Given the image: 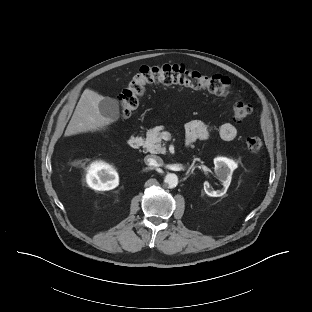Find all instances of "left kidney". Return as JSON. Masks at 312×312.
<instances>
[{
	"label": "left kidney",
	"mask_w": 312,
	"mask_h": 312,
	"mask_svg": "<svg viewBox=\"0 0 312 312\" xmlns=\"http://www.w3.org/2000/svg\"><path fill=\"white\" fill-rule=\"evenodd\" d=\"M215 174L220 182H222L224 189L213 191L210 189L208 182L204 183V191L208 196L221 197L225 194L227 188L230 185L232 173L237 168V164L226 157H217L214 159Z\"/></svg>",
	"instance_id": "obj_1"
}]
</instances>
